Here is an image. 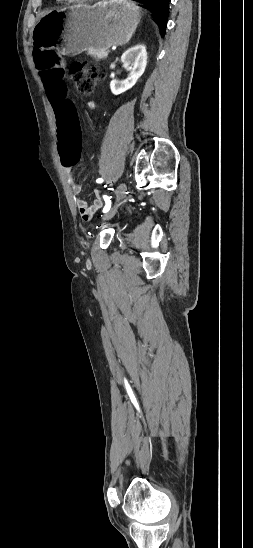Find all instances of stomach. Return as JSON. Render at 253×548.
Listing matches in <instances>:
<instances>
[{"label":"stomach","instance_id":"obj_1","mask_svg":"<svg viewBox=\"0 0 253 548\" xmlns=\"http://www.w3.org/2000/svg\"><path fill=\"white\" fill-rule=\"evenodd\" d=\"M140 19V8L126 0L73 5L42 18L34 28L33 41L58 43L66 55H77L88 48L107 49L128 43Z\"/></svg>","mask_w":253,"mask_h":548}]
</instances>
